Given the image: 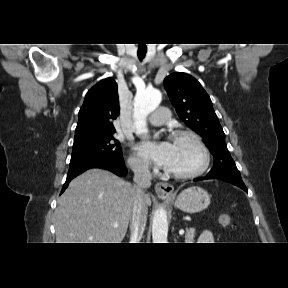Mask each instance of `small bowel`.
Listing matches in <instances>:
<instances>
[{"label":"small bowel","instance_id":"small-bowel-1","mask_svg":"<svg viewBox=\"0 0 288 288\" xmlns=\"http://www.w3.org/2000/svg\"><path fill=\"white\" fill-rule=\"evenodd\" d=\"M199 243L203 244H209V243H214V236L211 231L209 230H204L198 239Z\"/></svg>","mask_w":288,"mask_h":288}]
</instances>
